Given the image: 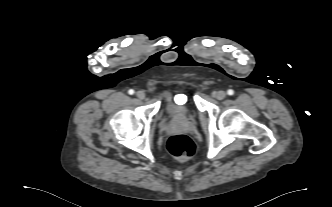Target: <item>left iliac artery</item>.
I'll list each match as a JSON object with an SVG mask.
<instances>
[{"label":"left iliac artery","mask_w":332,"mask_h":207,"mask_svg":"<svg viewBox=\"0 0 332 207\" xmlns=\"http://www.w3.org/2000/svg\"><path fill=\"white\" fill-rule=\"evenodd\" d=\"M227 93H228V95H233V94H234V91H233L232 89H229V90L227 91Z\"/></svg>","instance_id":"left-iliac-artery-1"}]
</instances>
